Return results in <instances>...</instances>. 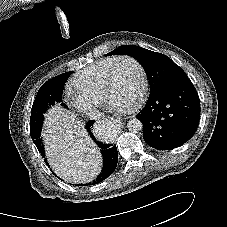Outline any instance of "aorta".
<instances>
[{"label": "aorta", "mask_w": 227, "mask_h": 227, "mask_svg": "<svg viewBox=\"0 0 227 227\" xmlns=\"http://www.w3.org/2000/svg\"><path fill=\"white\" fill-rule=\"evenodd\" d=\"M128 130L132 133H138L142 130L143 124L139 119H130L127 123ZM108 130H113L114 125L110 122L107 124Z\"/></svg>", "instance_id": "obj_1"}]
</instances>
